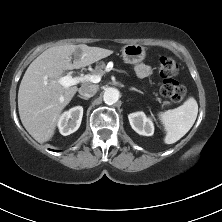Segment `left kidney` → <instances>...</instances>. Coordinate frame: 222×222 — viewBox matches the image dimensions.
<instances>
[{"label":"left kidney","mask_w":222,"mask_h":222,"mask_svg":"<svg viewBox=\"0 0 222 222\" xmlns=\"http://www.w3.org/2000/svg\"><path fill=\"white\" fill-rule=\"evenodd\" d=\"M131 127L135 132L144 136H152L154 125L150 118H147L144 112L131 113L128 116Z\"/></svg>","instance_id":"5707ae66"}]
</instances>
